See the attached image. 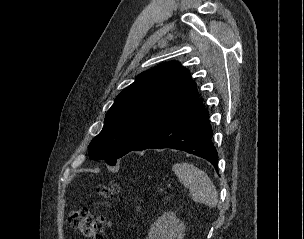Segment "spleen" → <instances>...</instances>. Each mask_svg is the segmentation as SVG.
I'll use <instances>...</instances> for the list:
<instances>
[{
  "instance_id": "3e777b00",
  "label": "spleen",
  "mask_w": 304,
  "mask_h": 239,
  "mask_svg": "<svg viewBox=\"0 0 304 239\" xmlns=\"http://www.w3.org/2000/svg\"><path fill=\"white\" fill-rule=\"evenodd\" d=\"M179 181L190 190L195 202L214 208L218 202L216 188L208 175L189 163H177L172 167Z\"/></svg>"
}]
</instances>
